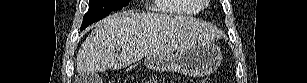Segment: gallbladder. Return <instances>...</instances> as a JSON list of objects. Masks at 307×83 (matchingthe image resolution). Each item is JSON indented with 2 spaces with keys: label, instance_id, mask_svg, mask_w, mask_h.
Instances as JSON below:
<instances>
[{
  "label": "gallbladder",
  "instance_id": "gallbladder-1",
  "mask_svg": "<svg viewBox=\"0 0 307 83\" xmlns=\"http://www.w3.org/2000/svg\"><path fill=\"white\" fill-rule=\"evenodd\" d=\"M100 80V77L96 74H88L86 78L83 80L84 83H97Z\"/></svg>",
  "mask_w": 307,
  "mask_h": 83
}]
</instances>
